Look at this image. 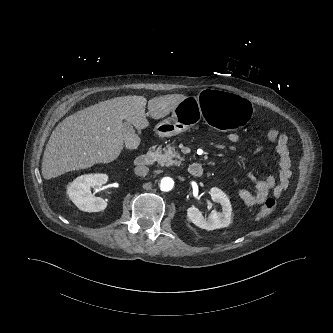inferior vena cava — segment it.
<instances>
[{"label": "inferior vena cava", "instance_id": "inferior-vena-cava-1", "mask_svg": "<svg viewBox=\"0 0 333 333\" xmlns=\"http://www.w3.org/2000/svg\"><path fill=\"white\" fill-rule=\"evenodd\" d=\"M149 171V168L146 166H137L134 169V172L138 176H145Z\"/></svg>", "mask_w": 333, "mask_h": 333}]
</instances>
